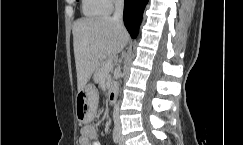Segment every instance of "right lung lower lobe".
<instances>
[{
	"label": "right lung lower lobe",
	"mask_w": 243,
	"mask_h": 145,
	"mask_svg": "<svg viewBox=\"0 0 243 145\" xmlns=\"http://www.w3.org/2000/svg\"><path fill=\"white\" fill-rule=\"evenodd\" d=\"M148 0L124 1V24L132 38H136L142 14Z\"/></svg>",
	"instance_id": "1"
}]
</instances>
